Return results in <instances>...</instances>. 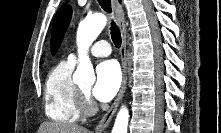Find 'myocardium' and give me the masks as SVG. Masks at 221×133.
I'll return each mask as SVG.
<instances>
[{
    "label": "myocardium",
    "mask_w": 221,
    "mask_h": 133,
    "mask_svg": "<svg viewBox=\"0 0 221 133\" xmlns=\"http://www.w3.org/2000/svg\"><path fill=\"white\" fill-rule=\"evenodd\" d=\"M77 100L81 115L88 116L92 114L93 107L88 92H85L82 88L78 87Z\"/></svg>",
    "instance_id": "f54148a6"
}]
</instances>
